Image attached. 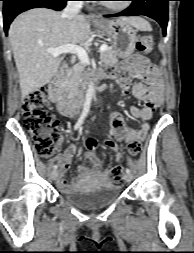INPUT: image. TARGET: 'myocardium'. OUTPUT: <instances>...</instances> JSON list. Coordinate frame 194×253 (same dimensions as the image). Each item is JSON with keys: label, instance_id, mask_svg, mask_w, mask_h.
<instances>
[{"label": "myocardium", "instance_id": "f54148a6", "mask_svg": "<svg viewBox=\"0 0 194 253\" xmlns=\"http://www.w3.org/2000/svg\"><path fill=\"white\" fill-rule=\"evenodd\" d=\"M104 6L109 10H112L115 12H122L130 6V2H129V0H124L118 4L105 3Z\"/></svg>", "mask_w": 194, "mask_h": 253}]
</instances>
